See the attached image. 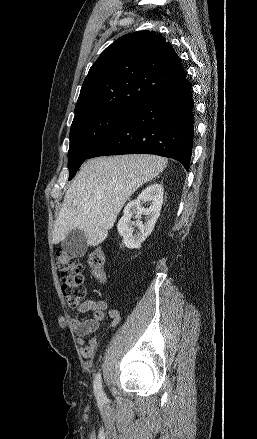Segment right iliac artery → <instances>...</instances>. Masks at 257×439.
Returning <instances> with one entry per match:
<instances>
[{"label": "right iliac artery", "mask_w": 257, "mask_h": 439, "mask_svg": "<svg viewBox=\"0 0 257 439\" xmlns=\"http://www.w3.org/2000/svg\"><path fill=\"white\" fill-rule=\"evenodd\" d=\"M94 392H95V396L97 398L98 401H105L106 400V396L102 390V380H101V375L98 373L95 376L94 379Z\"/></svg>", "instance_id": "82829eb1"}]
</instances>
